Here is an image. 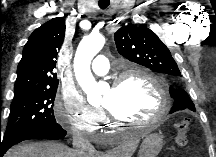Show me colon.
Wrapping results in <instances>:
<instances>
[{
    "label": "colon",
    "mask_w": 216,
    "mask_h": 157,
    "mask_svg": "<svg viewBox=\"0 0 216 157\" xmlns=\"http://www.w3.org/2000/svg\"><path fill=\"white\" fill-rule=\"evenodd\" d=\"M191 120L187 117L176 122V141L179 146L184 147L188 142Z\"/></svg>",
    "instance_id": "obj_1"
}]
</instances>
